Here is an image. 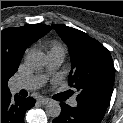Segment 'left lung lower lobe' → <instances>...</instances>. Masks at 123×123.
<instances>
[{"label":"left lung lower lobe","instance_id":"obj_1","mask_svg":"<svg viewBox=\"0 0 123 123\" xmlns=\"http://www.w3.org/2000/svg\"><path fill=\"white\" fill-rule=\"evenodd\" d=\"M61 114L52 123H100L103 113L93 111L87 107L77 105L70 107L61 103Z\"/></svg>","mask_w":123,"mask_h":123}]
</instances>
